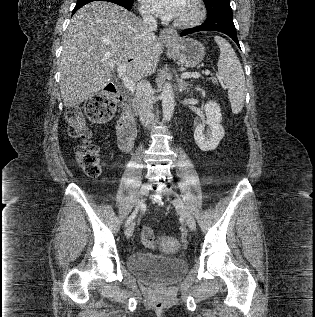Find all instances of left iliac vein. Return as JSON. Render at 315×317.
Wrapping results in <instances>:
<instances>
[{"instance_id":"4c4485c4","label":"left iliac vein","mask_w":315,"mask_h":317,"mask_svg":"<svg viewBox=\"0 0 315 317\" xmlns=\"http://www.w3.org/2000/svg\"><path fill=\"white\" fill-rule=\"evenodd\" d=\"M162 193L168 197H173L172 203L175 208L180 212L181 216L185 220L186 224L190 230L194 231L196 229V222L191 212L186 208L182 199L177 195L171 188L164 187Z\"/></svg>"}]
</instances>
